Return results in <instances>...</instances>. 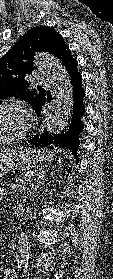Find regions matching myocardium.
I'll return each instance as SVG.
<instances>
[{"instance_id": "f54148a6", "label": "myocardium", "mask_w": 113, "mask_h": 279, "mask_svg": "<svg viewBox=\"0 0 113 279\" xmlns=\"http://www.w3.org/2000/svg\"><path fill=\"white\" fill-rule=\"evenodd\" d=\"M3 106H11L20 111V113L23 116V128L22 131L17 135L1 137L0 144H6L22 140L28 134L30 128V114L27 107L22 102L12 99L1 100L0 107Z\"/></svg>"}]
</instances>
